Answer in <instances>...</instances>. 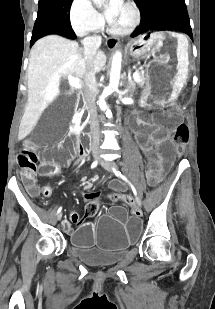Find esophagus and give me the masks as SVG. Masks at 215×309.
Here are the masks:
<instances>
[{
  "instance_id": "esophagus-1",
  "label": "esophagus",
  "mask_w": 215,
  "mask_h": 309,
  "mask_svg": "<svg viewBox=\"0 0 215 309\" xmlns=\"http://www.w3.org/2000/svg\"><path fill=\"white\" fill-rule=\"evenodd\" d=\"M118 44L119 40L115 38H110L106 41V45L109 48V50H114Z\"/></svg>"
}]
</instances>
